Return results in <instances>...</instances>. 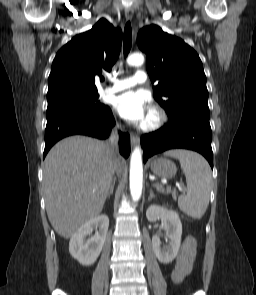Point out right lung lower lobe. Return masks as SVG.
<instances>
[{
	"label": "right lung lower lobe",
	"instance_id": "1",
	"mask_svg": "<svg viewBox=\"0 0 256 295\" xmlns=\"http://www.w3.org/2000/svg\"><path fill=\"white\" fill-rule=\"evenodd\" d=\"M45 149L43 157L60 139L74 134H83L99 139L107 138L115 120L108 106L100 110H87L76 106H48L46 112ZM120 153L130 154V137L119 133Z\"/></svg>",
	"mask_w": 256,
	"mask_h": 295
}]
</instances>
